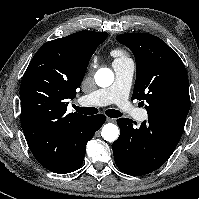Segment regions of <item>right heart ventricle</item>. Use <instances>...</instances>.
<instances>
[{"mask_svg": "<svg viewBox=\"0 0 199 199\" xmlns=\"http://www.w3.org/2000/svg\"><path fill=\"white\" fill-rule=\"evenodd\" d=\"M112 54L117 57V59H126L125 53L120 49H115L112 51Z\"/></svg>", "mask_w": 199, "mask_h": 199, "instance_id": "obj_1", "label": "right heart ventricle"}]
</instances>
